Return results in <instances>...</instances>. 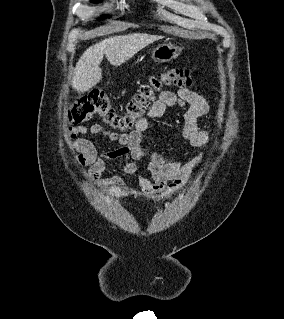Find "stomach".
Returning <instances> with one entry per match:
<instances>
[{
    "mask_svg": "<svg viewBox=\"0 0 284 319\" xmlns=\"http://www.w3.org/2000/svg\"><path fill=\"white\" fill-rule=\"evenodd\" d=\"M182 52V47L172 43H164L156 47L152 52V58L158 63L176 59Z\"/></svg>",
    "mask_w": 284,
    "mask_h": 319,
    "instance_id": "1",
    "label": "stomach"
}]
</instances>
